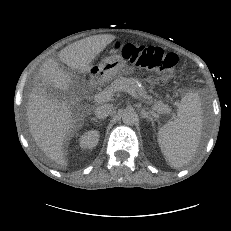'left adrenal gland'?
I'll return each mask as SVG.
<instances>
[{
    "label": "left adrenal gland",
    "instance_id": "1",
    "mask_svg": "<svg viewBox=\"0 0 231 231\" xmlns=\"http://www.w3.org/2000/svg\"><path fill=\"white\" fill-rule=\"evenodd\" d=\"M141 117L143 119H145V118L148 119L152 123V126H154L153 117L148 112H146L144 108L141 109Z\"/></svg>",
    "mask_w": 231,
    "mask_h": 231
}]
</instances>
